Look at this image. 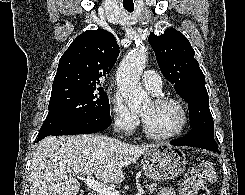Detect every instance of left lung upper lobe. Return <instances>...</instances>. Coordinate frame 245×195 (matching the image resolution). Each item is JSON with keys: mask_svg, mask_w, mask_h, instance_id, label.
<instances>
[{"mask_svg": "<svg viewBox=\"0 0 245 195\" xmlns=\"http://www.w3.org/2000/svg\"><path fill=\"white\" fill-rule=\"evenodd\" d=\"M148 40L162 74L188 103L192 129H203L214 135L205 77L188 39L175 29H166L162 35L150 33Z\"/></svg>", "mask_w": 245, "mask_h": 195, "instance_id": "5c2ea615", "label": "left lung upper lobe"}]
</instances>
